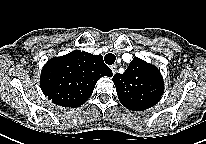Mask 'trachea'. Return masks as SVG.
I'll use <instances>...</instances> for the list:
<instances>
[{"label":"trachea","instance_id":"3493384b","mask_svg":"<svg viewBox=\"0 0 206 144\" xmlns=\"http://www.w3.org/2000/svg\"><path fill=\"white\" fill-rule=\"evenodd\" d=\"M104 60H105L106 64L112 65V64H114L116 57L114 54L108 53L105 55Z\"/></svg>","mask_w":206,"mask_h":144}]
</instances>
